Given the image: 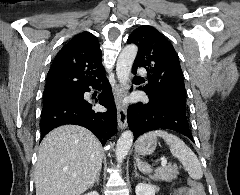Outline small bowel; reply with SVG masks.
<instances>
[{"mask_svg":"<svg viewBox=\"0 0 240 195\" xmlns=\"http://www.w3.org/2000/svg\"><path fill=\"white\" fill-rule=\"evenodd\" d=\"M191 188H196L197 192L191 193L190 192ZM172 195H205V192L202 186H184V187L174 189L172 191Z\"/></svg>","mask_w":240,"mask_h":195,"instance_id":"c3829d8e","label":"small bowel"}]
</instances>
